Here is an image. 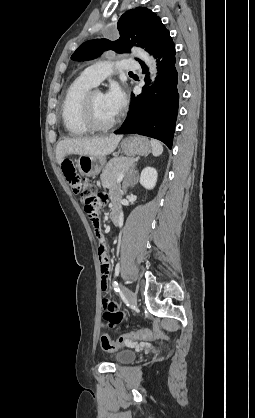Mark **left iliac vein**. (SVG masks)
<instances>
[{"instance_id": "4c4485c4", "label": "left iliac vein", "mask_w": 255, "mask_h": 418, "mask_svg": "<svg viewBox=\"0 0 255 418\" xmlns=\"http://www.w3.org/2000/svg\"><path fill=\"white\" fill-rule=\"evenodd\" d=\"M122 293L132 306H134V307L137 306V296L133 291H131L129 289H126V288H123Z\"/></svg>"}]
</instances>
